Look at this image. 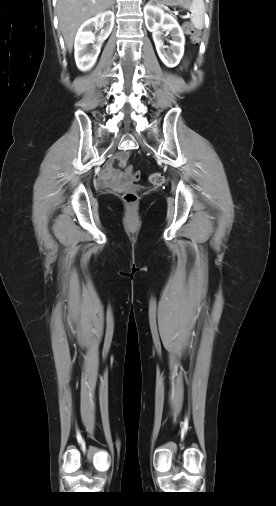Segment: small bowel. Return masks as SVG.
<instances>
[{
  "label": "small bowel",
  "mask_w": 276,
  "mask_h": 506,
  "mask_svg": "<svg viewBox=\"0 0 276 506\" xmlns=\"http://www.w3.org/2000/svg\"><path fill=\"white\" fill-rule=\"evenodd\" d=\"M127 157V152H121L117 154V160L119 161L120 166L124 167L126 165ZM127 180V175L125 173L119 172L110 162L105 166L102 175L99 177L98 186L101 188L116 187L120 183Z\"/></svg>",
  "instance_id": "obj_1"
}]
</instances>
